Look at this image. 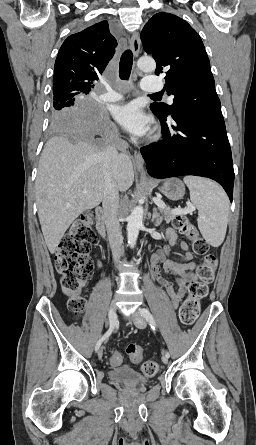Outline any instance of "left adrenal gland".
<instances>
[{"label":"left adrenal gland","mask_w":256,"mask_h":445,"mask_svg":"<svg viewBox=\"0 0 256 445\" xmlns=\"http://www.w3.org/2000/svg\"><path fill=\"white\" fill-rule=\"evenodd\" d=\"M152 222H154L155 226L160 225L162 222V216L158 213L157 208L153 209Z\"/></svg>","instance_id":"1"}]
</instances>
